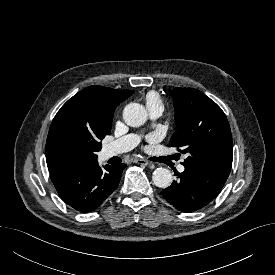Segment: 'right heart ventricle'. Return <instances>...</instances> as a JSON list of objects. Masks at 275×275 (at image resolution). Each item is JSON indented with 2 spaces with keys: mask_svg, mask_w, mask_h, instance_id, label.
I'll use <instances>...</instances> for the list:
<instances>
[{
  "mask_svg": "<svg viewBox=\"0 0 275 275\" xmlns=\"http://www.w3.org/2000/svg\"><path fill=\"white\" fill-rule=\"evenodd\" d=\"M145 101H146L147 105H149V104H157V103L162 104L160 96L155 91L148 92L146 94Z\"/></svg>",
  "mask_w": 275,
  "mask_h": 275,
  "instance_id": "1",
  "label": "right heart ventricle"
}]
</instances>
